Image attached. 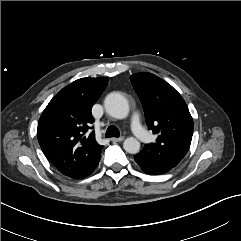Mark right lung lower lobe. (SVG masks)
Returning a JSON list of instances; mask_svg holds the SVG:
<instances>
[{"label": "right lung lower lobe", "instance_id": "obj_1", "mask_svg": "<svg viewBox=\"0 0 241 241\" xmlns=\"http://www.w3.org/2000/svg\"><path fill=\"white\" fill-rule=\"evenodd\" d=\"M100 160V159H99ZM99 160L95 163H93L92 165H89L88 167H85L75 173H73L72 175H70L69 177L73 178V179H82L87 177L88 175H90L94 169L97 167Z\"/></svg>", "mask_w": 241, "mask_h": 241}]
</instances>
